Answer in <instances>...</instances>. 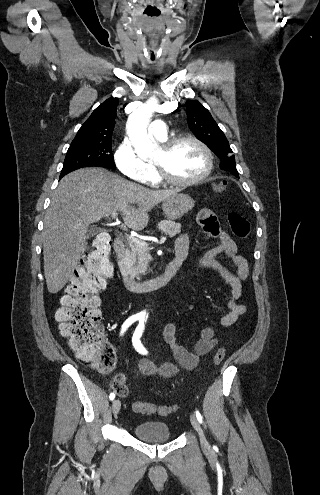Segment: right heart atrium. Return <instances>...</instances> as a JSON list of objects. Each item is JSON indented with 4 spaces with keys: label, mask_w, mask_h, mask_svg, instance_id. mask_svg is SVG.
<instances>
[{
    "label": "right heart atrium",
    "mask_w": 320,
    "mask_h": 495,
    "mask_svg": "<svg viewBox=\"0 0 320 495\" xmlns=\"http://www.w3.org/2000/svg\"><path fill=\"white\" fill-rule=\"evenodd\" d=\"M114 158L119 171L127 178L140 183L154 181L156 176L154 169L136 154L128 139L120 143Z\"/></svg>",
    "instance_id": "right-heart-atrium-1"
}]
</instances>
